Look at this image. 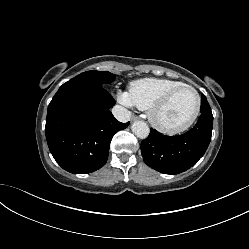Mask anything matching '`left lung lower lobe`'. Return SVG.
Segmentation results:
<instances>
[{"mask_svg": "<svg viewBox=\"0 0 249 249\" xmlns=\"http://www.w3.org/2000/svg\"><path fill=\"white\" fill-rule=\"evenodd\" d=\"M213 116L202 113L196 125L180 136L162 135L155 129L141 143L144 162L165 174L186 171L204 155L212 133Z\"/></svg>", "mask_w": 249, "mask_h": 249, "instance_id": "obj_1", "label": "left lung lower lobe"}]
</instances>
